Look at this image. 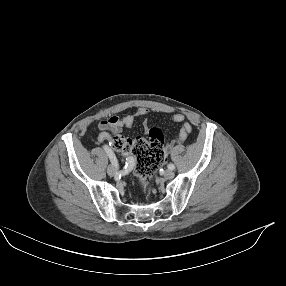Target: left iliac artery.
<instances>
[{"label":"left iliac artery","instance_id":"left-iliac-artery-1","mask_svg":"<svg viewBox=\"0 0 286 286\" xmlns=\"http://www.w3.org/2000/svg\"><path fill=\"white\" fill-rule=\"evenodd\" d=\"M168 169H170V170H174V169H175V166H174L173 164H171V163H170V164L168 165Z\"/></svg>","mask_w":286,"mask_h":286}]
</instances>
